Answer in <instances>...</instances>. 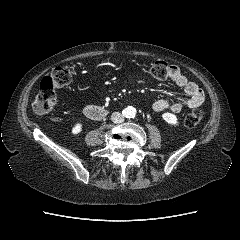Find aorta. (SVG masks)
<instances>
[{"label": "aorta", "mask_w": 240, "mask_h": 240, "mask_svg": "<svg viewBox=\"0 0 240 240\" xmlns=\"http://www.w3.org/2000/svg\"><path fill=\"white\" fill-rule=\"evenodd\" d=\"M136 108L133 106H128L125 108L124 113L128 118H134L136 115Z\"/></svg>", "instance_id": "obj_1"}]
</instances>
